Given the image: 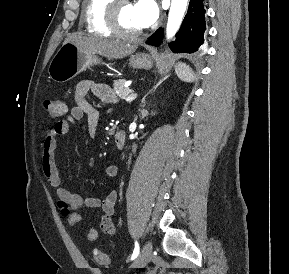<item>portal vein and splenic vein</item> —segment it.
I'll return each mask as SVG.
<instances>
[{"label": "portal vein and splenic vein", "mask_w": 289, "mask_h": 274, "mask_svg": "<svg viewBox=\"0 0 289 274\" xmlns=\"http://www.w3.org/2000/svg\"><path fill=\"white\" fill-rule=\"evenodd\" d=\"M137 95L136 94H130L127 97H125V101L130 102L133 101L134 99H136Z\"/></svg>", "instance_id": "1"}]
</instances>
